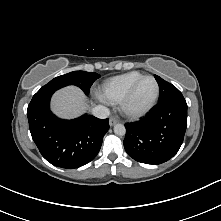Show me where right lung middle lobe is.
<instances>
[{
	"label": "right lung middle lobe",
	"instance_id": "right-lung-middle-lobe-1",
	"mask_svg": "<svg viewBox=\"0 0 221 221\" xmlns=\"http://www.w3.org/2000/svg\"><path fill=\"white\" fill-rule=\"evenodd\" d=\"M98 78H100V75L97 73L73 71L54 78L49 83L40 88V90L34 96H39L46 93H54L56 90L67 85L78 86L84 91L85 94H88L91 85Z\"/></svg>",
	"mask_w": 221,
	"mask_h": 221
}]
</instances>
